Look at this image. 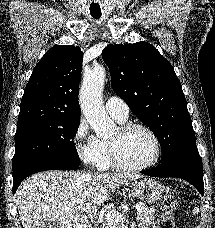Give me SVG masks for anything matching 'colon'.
<instances>
[{
  "label": "colon",
  "instance_id": "colon-1",
  "mask_svg": "<svg viewBox=\"0 0 215 228\" xmlns=\"http://www.w3.org/2000/svg\"><path fill=\"white\" fill-rule=\"evenodd\" d=\"M177 202L174 196L166 195L160 204V214L157 219V228H175L172 214L175 212Z\"/></svg>",
  "mask_w": 215,
  "mask_h": 228
}]
</instances>
